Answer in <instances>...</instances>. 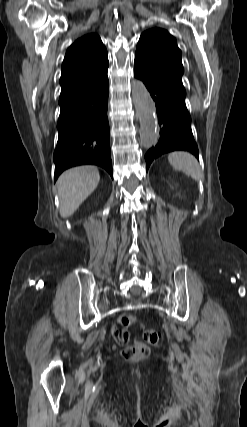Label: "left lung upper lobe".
I'll list each match as a JSON object with an SVG mask.
<instances>
[{
    "mask_svg": "<svg viewBox=\"0 0 247 427\" xmlns=\"http://www.w3.org/2000/svg\"><path fill=\"white\" fill-rule=\"evenodd\" d=\"M181 55L182 52L173 36L164 29L153 28L141 35L135 62L174 89L186 94L182 84Z\"/></svg>",
    "mask_w": 247,
    "mask_h": 427,
    "instance_id": "1",
    "label": "left lung upper lobe"
}]
</instances>
